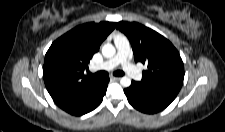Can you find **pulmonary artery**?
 I'll return each mask as SVG.
<instances>
[{
    "mask_svg": "<svg viewBox=\"0 0 225 132\" xmlns=\"http://www.w3.org/2000/svg\"><path fill=\"white\" fill-rule=\"evenodd\" d=\"M115 46L117 49L116 55L95 66L93 69L94 70H111L115 68L117 65L121 64L124 68V70L133 78L139 80L141 79V74L135 69V67L130 64L127 59L130 54V43L129 40L122 35L116 36L115 37Z\"/></svg>",
    "mask_w": 225,
    "mask_h": 132,
    "instance_id": "e3ab8cb5",
    "label": "pulmonary artery"
}]
</instances>
